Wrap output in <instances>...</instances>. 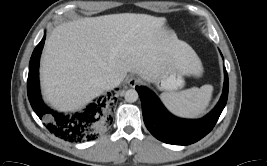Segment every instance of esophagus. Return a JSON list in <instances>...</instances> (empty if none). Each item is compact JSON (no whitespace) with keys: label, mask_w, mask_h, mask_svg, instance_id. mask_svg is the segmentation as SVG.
Instances as JSON below:
<instances>
[{"label":"esophagus","mask_w":267,"mask_h":166,"mask_svg":"<svg viewBox=\"0 0 267 166\" xmlns=\"http://www.w3.org/2000/svg\"><path fill=\"white\" fill-rule=\"evenodd\" d=\"M127 83L130 87L134 88L136 85L139 84V80L136 77L131 76L127 79Z\"/></svg>","instance_id":"esophagus-1"}]
</instances>
